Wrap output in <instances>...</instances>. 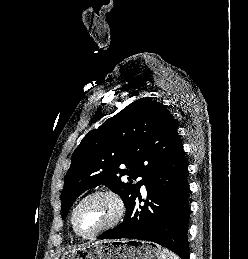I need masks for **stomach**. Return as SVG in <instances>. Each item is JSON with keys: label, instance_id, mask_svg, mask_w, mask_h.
Listing matches in <instances>:
<instances>
[{"label": "stomach", "instance_id": "0dacf381", "mask_svg": "<svg viewBox=\"0 0 248 259\" xmlns=\"http://www.w3.org/2000/svg\"><path fill=\"white\" fill-rule=\"evenodd\" d=\"M61 259H162L161 247L139 240H114L66 252Z\"/></svg>", "mask_w": 248, "mask_h": 259}]
</instances>
